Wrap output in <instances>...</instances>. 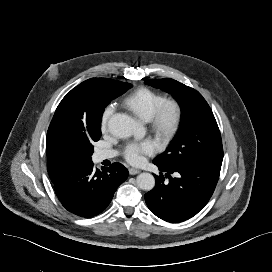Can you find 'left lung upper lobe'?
<instances>
[{
  "instance_id": "5c2ea615",
  "label": "left lung upper lobe",
  "mask_w": 272,
  "mask_h": 272,
  "mask_svg": "<svg viewBox=\"0 0 272 272\" xmlns=\"http://www.w3.org/2000/svg\"><path fill=\"white\" fill-rule=\"evenodd\" d=\"M146 84L170 93L181 107L180 130L167 150L154 162L167 167L196 162L222 164L220 131L202 95L170 78L146 80Z\"/></svg>"
}]
</instances>
